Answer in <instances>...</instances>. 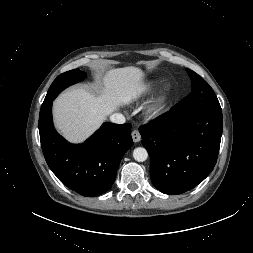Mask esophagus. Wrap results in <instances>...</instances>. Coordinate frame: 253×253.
<instances>
[{"instance_id":"obj_1","label":"esophagus","mask_w":253,"mask_h":253,"mask_svg":"<svg viewBox=\"0 0 253 253\" xmlns=\"http://www.w3.org/2000/svg\"><path fill=\"white\" fill-rule=\"evenodd\" d=\"M131 135H132V139L135 143L139 142L141 140V135L137 129L133 130Z\"/></svg>"}]
</instances>
